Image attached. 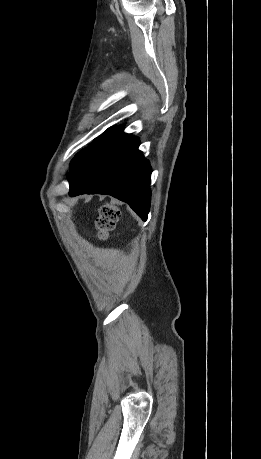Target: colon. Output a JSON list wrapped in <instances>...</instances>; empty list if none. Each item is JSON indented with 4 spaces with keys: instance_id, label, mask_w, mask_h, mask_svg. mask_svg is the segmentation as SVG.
<instances>
[{
    "instance_id": "5ec220e1",
    "label": "colon",
    "mask_w": 261,
    "mask_h": 459,
    "mask_svg": "<svg viewBox=\"0 0 261 459\" xmlns=\"http://www.w3.org/2000/svg\"><path fill=\"white\" fill-rule=\"evenodd\" d=\"M120 217L119 208L110 203H106L101 206L99 216L96 220V227L100 239H107L109 232L113 230Z\"/></svg>"
}]
</instances>
